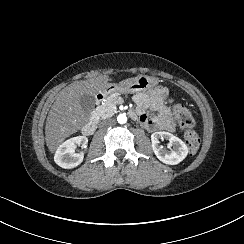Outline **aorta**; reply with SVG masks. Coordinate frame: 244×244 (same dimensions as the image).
<instances>
[{"mask_svg": "<svg viewBox=\"0 0 244 244\" xmlns=\"http://www.w3.org/2000/svg\"><path fill=\"white\" fill-rule=\"evenodd\" d=\"M117 122L119 124H125L127 122V116L125 114H120L118 117H117Z\"/></svg>", "mask_w": 244, "mask_h": 244, "instance_id": "762f6f07", "label": "aorta"}]
</instances>
